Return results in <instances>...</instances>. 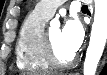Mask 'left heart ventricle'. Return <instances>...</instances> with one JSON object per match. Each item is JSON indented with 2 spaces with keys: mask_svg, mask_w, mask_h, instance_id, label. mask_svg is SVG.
Here are the masks:
<instances>
[{
  "mask_svg": "<svg viewBox=\"0 0 107 75\" xmlns=\"http://www.w3.org/2000/svg\"><path fill=\"white\" fill-rule=\"evenodd\" d=\"M48 34L50 36V39L53 43V46L56 50V53H57L58 57L61 60L69 59L73 55V53H71L70 51H68L64 47L63 42H62V37H61V30H59L57 28L50 29L48 31Z\"/></svg>",
  "mask_w": 107,
  "mask_h": 75,
  "instance_id": "1",
  "label": "left heart ventricle"
}]
</instances>
